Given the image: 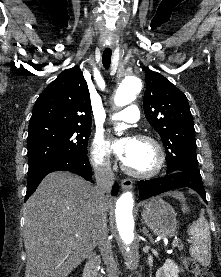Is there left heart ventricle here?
<instances>
[{
	"label": "left heart ventricle",
	"instance_id": "obj_1",
	"mask_svg": "<svg viewBox=\"0 0 221 277\" xmlns=\"http://www.w3.org/2000/svg\"><path fill=\"white\" fill-rule=\"evenodd\" d=\"M123 162L134 171H149L156 164V153L149 143L133 140Z\"/></svg>",
	"mask_w": 221,
	"mask_h": 277
}]
</instances>
